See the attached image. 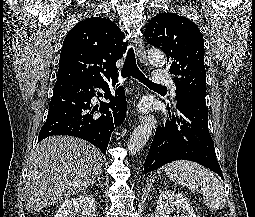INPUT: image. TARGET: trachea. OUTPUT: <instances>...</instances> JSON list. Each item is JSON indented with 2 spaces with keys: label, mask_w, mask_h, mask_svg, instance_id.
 <instances>
[{
  "label": "trachea",
  "mask_w": 255,
  "mask_h": 217,
  "mask_svg": "<svg viewBox=\"0 0 255 217\" xmlns=\"http://www.w3.org/2000/svg\"><path fill=\"white\" fill-rule=\"evenodd\" d=\"M121 76L123 78L131 76L152 89L166 88L164 86L155 84L154 82L150 81L148 78L144 76V74L140 71V69L137 66L133 48H129L127 52L126 62L123 69L121 70Z\"/></svg>",
  "instance_id": "1"
}]
</instances>
